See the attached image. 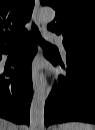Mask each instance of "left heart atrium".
<instances>
[{
	"label": "left heart atrium",
	"instance_id": "1",
	"mask_svg": "<svg viewBox=\"0 0 95 130\" xmlns=\"http://www.w3.org/2000/svg\"><path fill=\"white\" fill-rule=\"evenodd\" d=\"M38 68H39V65H38L37 62H35V63L33 64V69H34V71H37Z\"/></svg>",
	"mask_w": 95,
	"mask_h": 130
}]
</instances>
